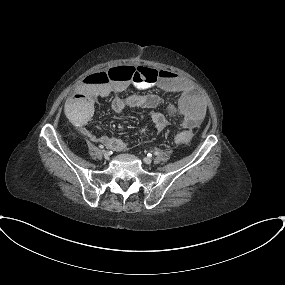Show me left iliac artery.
Instances as JSON below:
<instances>
[{
	"label": "left iliac artery",
	"mask_w": 285,
	"mask_h": 285,
	"mask_svg": "<svg viewBox=\"0 0 285 285\" xmlns=\"http://www.w3.org/2000/svg\"><path fill=\"white\" fill-rule=\"evenodd\" d=\"M158 154H159V152H158V151H155V152H154V155H158Z\"/></svg>",
	"instance_id": "44dca946"
}]
</instances>
